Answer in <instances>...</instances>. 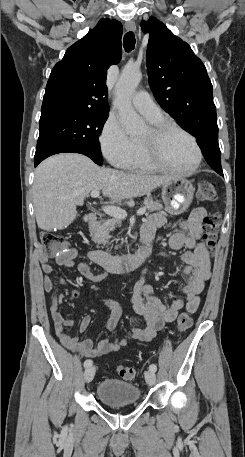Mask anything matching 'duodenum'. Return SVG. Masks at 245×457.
<instances>
[{
	"label": "duodenum",
	"mask_w": 245,
	"mask_h": 457,
	"mask_svg": "<svg viewBox=\"0 0 245 457\" xmlns=\"http://www.w3.org/2000/svg\"><path fill=\"white\" fill-rule=\"evenodd\" d=\"M89 226H94L97 223L96 214H89L86 218ZM149 256L147 248H141L136 253L131 255H111L107 252L96 250L90 254L91 259L109 271H122L125 269H135L141 266Z\"/></svg>",
	"instance_id": "410a0bca"
}]
</instances>
